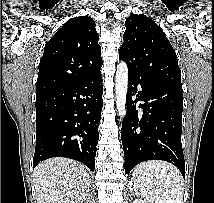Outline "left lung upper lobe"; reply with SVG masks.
Returning <instances> with one entry per match:
<instances>
[{
    "label": "left lung upper lobe",
    "instance_id": "1",
    "mask_svg": "<svg viewBox=\"0 0 214 203\" xmlns=\"http://www.w3.org/2000/svg\"><path fill=\"white\" fill-rule=\"evenodd\" d=\"M125 26L119 58L128 72L182 90L177 56L163 30L142 14L130 15Z\"/></svg>",
    "mask_w": 214,
    "mask_h": 203
}]
</instances>
